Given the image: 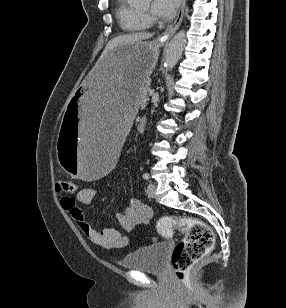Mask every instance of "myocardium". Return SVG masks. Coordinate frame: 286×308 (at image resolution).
I'll list each match as a JSON object with an SVG mask.
<instances>
[{
  "mask_svg": "<svg viewBox=\"0 0 286 308\" xmlns=\"http://www.w3.org/2000/svg\"><path fill=\"white\" fill-rule=\"evenodd\" d=\"M140 15L143 16L146 20L150 21L151 20V16L149 13H144L139 11Z\"/></svg>",
  "mask_w": 286,
  "mask_h": 308,
  "instance_id": "f54148a6",
  "label": "myocardium"
}]
</instances>
